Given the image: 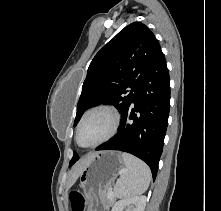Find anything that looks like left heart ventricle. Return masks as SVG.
<instances>
[{
    "label": "left heart ventricle",
    "mask_w": 221,
    "mask_h": 211,
    "mask_svg": "<svg viewBox=\"0 0 221 211\" xmlns=\"http://www.w3.org/2000/svg\"><path fill=\"white\" fill-rule=\"evenodd\" d=\"M111 127V118L108 114L97 112L90 115L83 123L79 141L83 145H90L103 138Z\"/></svg>",
    "instance_id": "1"
}]
</instances>
